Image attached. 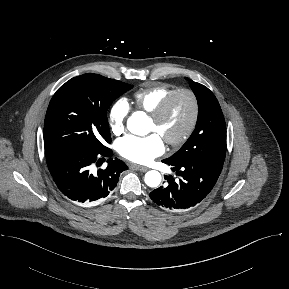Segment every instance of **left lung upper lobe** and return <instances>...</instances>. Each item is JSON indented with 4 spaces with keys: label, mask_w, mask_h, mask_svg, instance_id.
<instances>
[{
    "label": "left lung upper lobe",
    "mask_w": 289,
    "mask_h": 289,
    "mask_svg": "<svg viewBox=\"0 0 289 289\" xmlns=\"http://www.w3.org/2000/svg\"><path fill=\"white\" fill-rule=\"evenodd\" d=\"M190 87L199 107L196 128L185 144L165 160L175 165L198 160L223 163L226 155V124L218 100L200 83L190 80Z\"/></svg>",
    "instance_id": "obj_1"
}]
</instances>
